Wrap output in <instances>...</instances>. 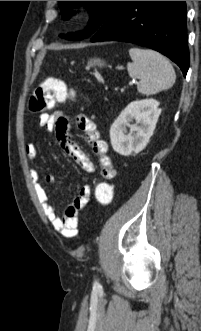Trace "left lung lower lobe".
I'll return each instance as SVG.
<instances>
[{"mask_svg": "<svg viewBox=\"0 0 201 331\" xmlns=\"http://www.w3.org/2000/svg\"><path fill=\"white\" fill-rule=\"evenodd\" d=\"M123 41L154 49L182 70L189 68L185 1H120L90 39Z\"/></svg>", "mask_w": 201, "mask_h": 331, "instance_id": "0a47b994", "label": "left lung lower lobe"}]
</instances>
